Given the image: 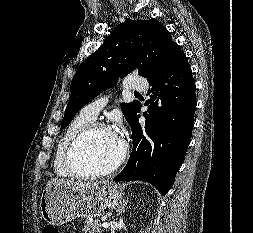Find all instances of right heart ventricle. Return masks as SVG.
<instances>
[{"label":"right heart ventricle","mask_w":253,"mask_h":233,"mask_svg":"<svg viewBox=\"0 0 253 233\" xmlns=\"http://www.w3.org/2000/svg\"><path fill=\"white\" fill-rule=\"evenodd\" d=\"M93 122L82 114H78L67 126L63 134L61 135L53 158V168L57 176L71 177L72 175L67 170L64 164V157L71 140L86 126Z\"/></svg>","instance_id":"right-heart-ventricle-1"}]
</instances>
